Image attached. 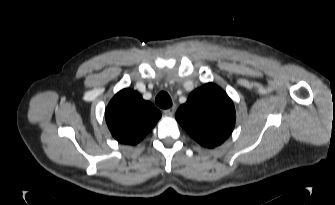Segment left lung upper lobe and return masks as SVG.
Listing matches in <instances>:
<instances>
[{
    "mask_svg": "<svg viewBox=\"0 0 335 205\" xmlns=\"http://www.w3.org/2000/svg\"><path fill=\"white\" fill-rule=\"evenodd\" d=\"M179 124L199 144L214 148L232 133L235 108L228 95L213 83L194 90L176 112Z\"/></svg>",
    "mask_w": 335,
    "mask_h": 205,
    "instance_id": "1",
    "label": "left lung upper lobe"
}]
</instances>
